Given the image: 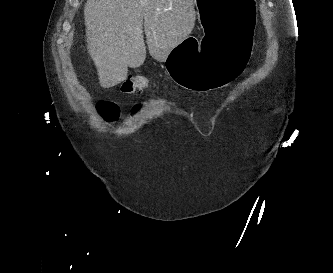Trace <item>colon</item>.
Listing matches in <instances>:
<instances>
[{"instance_id": "obj_1", "label": "colon", "mask_w": 333, "mask_h": 273, "mask_svg": "<svg viewBox=\"0 0 333 273\" xmlns=\"http://www.w3.org/2000/svg\"><path fill=\"white\" fill-rule=\"evenodd\" d=\"M151 87L149 80L142 77L129 76L122 84V91L131 93ZM98 111L107 121L114 120L119 113L118 106L109 101H100L97 105Z\"/></svg>"}]
</instances>
